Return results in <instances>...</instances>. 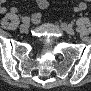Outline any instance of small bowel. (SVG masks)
Listing matches in <instances>:
<instances>
[{
    "instance_id": "c3829d8e",
    "label": "small bowel",
    "mask_w": 91,
    "mask_h": 91,
    "mask_svg": "<svg viewBox=\"0 0 91 91\" xmlns=\"http://www.w3.org/2000/svg\"><path fill=\"white\" fill-rule=\"evenodd\" d=\"M37 4L40 8H46L49 5V1L48 0H37ZM86 8H87V4L83 1H81L75 6V11H77V12L84 11ZM6 11H7V8L4 5H1L0 12L2 14H4V13H6ZM11 12L17 13V9L12 8Z\"/></svg>"
}]
</instances>
